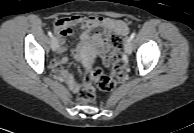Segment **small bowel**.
Here are the masks:
<instances>
[{"instance_id":"1","label":"small bowel","mask_w":194,"mask_h":133,"mask_svg":"<svg viewBox=\"0 0 194 133\" xmlns=\"http://www.w3.org/2000/svg\"><path fill=\"white\" fill-rule=\"evenodd\" d=\"M76 26L83 28L80 35V45L92 44L95 46L105 66L110 64L107 53L112 48L111 37L115 34L124 36L129 32L128 25L122 20L102 16H69L57 21L54 25V31L59 41L58 53L65 51V40L67 37L73 36V28ZM93 30L97 31L92 34ZM67 61L66 57L55 58L51 63V67L60 74L72 92H78L80 85L63 69Z\"/></svg>"}]
</instances>
